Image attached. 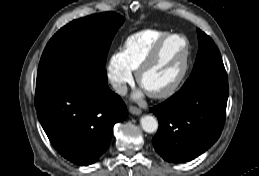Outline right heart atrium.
Segmentation results:
<instances>
[{"label": "right heart atrium", "mask_w": 259, "mask_h": 176, "mask_svg": "<svg viewBox=\"0 0 259 176\" xmlns=\"http://www.w3.org/2000/svg\"><path fill=\"white\" fill-rule=\"evenodd\" d=\"M106 76L118 94L125 93L127 85L133 81L132 70L126 65L121 51L112 53L108 58Z\"/></svg>", "instance_id": "obj_1"}]
</instances>
